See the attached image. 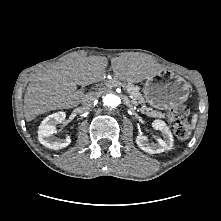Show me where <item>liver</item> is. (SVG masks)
<instances>
[{"label": "liver", "instance_id": "liver-1", "mask_svg": "<svg viewBox=\"0 0 221 221\" xmlns=\"http://www.w3.org/2000/svg\"><path fill=\"white\" fill-rule=\"evenodd\" d=\"M107 65L106 57L86 56L82 51L69 53L60 61L37 69L30 75L24 95L26 121L50 110L77 106L88 95L78 90L77 85L86 86L103 80ZM111 68L117 79L138 83L156 71V64L147 56L125 53L111 58Z\"/></svg>", "mask_w": 221, "mask_h": 221}]
</instances>
